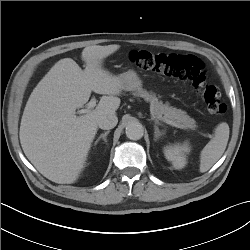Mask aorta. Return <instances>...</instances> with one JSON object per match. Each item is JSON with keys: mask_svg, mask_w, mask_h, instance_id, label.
Instances as JSON below:
<instances>
[{"mask_svg": "<svg viewBox=\"0 0 250 250\" xmlns=\"http://www.w3.org/2000/svg\"><path fill=\"white\" fill-rule=\"evenodd\" d=\"M144 129L141 123L131 121L126 126V135L131 140H139L143 137Z\"/></svg>", "mask_w": 250, "mask_h": 250, "instance_id": "aorta-1", "label": "aorta"}]
</instances>
